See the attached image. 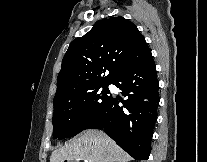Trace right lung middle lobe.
Segmentation results:
<instances>
[{
	"label": "right lung middle lobe",
	"instance_id": "right-lung-middle-lobe-1",
	"mask_svg": "<svg viewBox=\"0 0 207 162\" xmlns=\"http://www.w3.org/2000/svg\"><path fill=\"white\" fill-rule=\"evenodd\" d=\"M108 85L54 99V138H69L84 130L112 98Z\"/></svg>",
	"mask_w": 207,
	"mask_h": 162
}]
</instances>
